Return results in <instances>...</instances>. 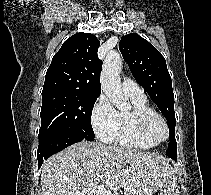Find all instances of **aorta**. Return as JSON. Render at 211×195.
Segmentation results:
<instances>
[{
	"instance_id": "obj_1",
	"label": "aorta",
	"mask_w": 211,
	"mask_h": 195,
	"mask_svg": "<svg viewBox=\"0 0 211 195\" xmlns=\"http://www.w3.org/2000/svg\"><path fill=\"white\" fill-rule=\"evenodd\" d=\"M122 69V60L120 54L116 51H110L103 63L101 71V87L103 92L119 110H127L130 104L124 99L120 72Z\"/></svg>"
}]
</instances>
